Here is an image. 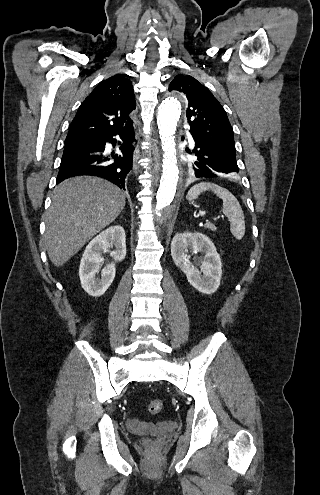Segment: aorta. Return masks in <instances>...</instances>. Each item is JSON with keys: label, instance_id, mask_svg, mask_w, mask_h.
I'll use <instances>...</instances> for the list:
<instances>
[{"label": "aorta", "instance_id": "aorta-1", "mask_svg": "<svg viewBox=\"0 0 320 495\" xmlns=\"http://www.w3.org/2000/svg\"><path fill=\"white\" fill-rule=\"evenodd\" d=\"M184 95L172 92L160 105L157 113V125L163 150L162 176L156 200L150 208V232L158 233L165 219L175 210L174 196L178 185V165L176 158L175 131L181 115Z\"/></svg>", "mask_w": 320, "mask_h": 495}]
</instances>
